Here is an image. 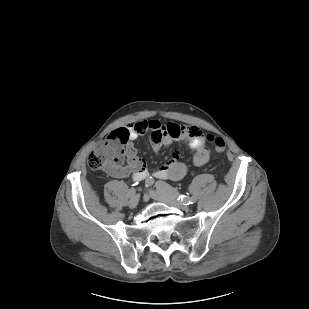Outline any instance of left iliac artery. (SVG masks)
Wrapping results in <instances>:
<instances>
[{
  "label": "left iliac artery",
  "instance_id": "left-iliac-artery-1",
  "mask_svg": "<svg viewBox=\"0 0 309 309\" xmlns=\"http://www.w3.org/2000/svg\"><path fill=\"white\" fill-rule=\"evenodd\" d=\"M157 190H160L162 192H165L171 196L178 197V200L184 203V205H189L193 204L196 202V198L194 197H189L186 195H179L176 189H174L172 186L169 184L163 182V181H157L155 184Z\"/></svg>",
  "mask_w": 309,
  "mask_h": 309
}]
</instances>
